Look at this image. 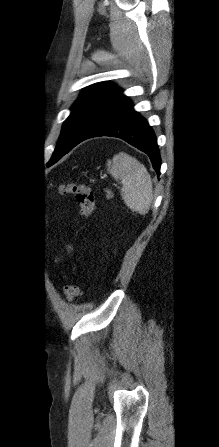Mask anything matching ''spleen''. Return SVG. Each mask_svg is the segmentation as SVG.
Returning <instances> with one entry per match:
<instances>
[{"label": "spleen", "instance_id": "spleen-1", "mask_svg": "<svg viewBox=\"0 0 219 447\" xmlns=\"http://www.w3.org/2000/svg\"><path fill=\"white\" fill-rule=\"evenodd\" d=\"M108 172L123 185L122 197L128 208L139 214L149 211L153 199L151 177L136 158L120 152L107 163Z\"/></svg>", "mask_w": 219, "mask_h": 447}]
</instances>
